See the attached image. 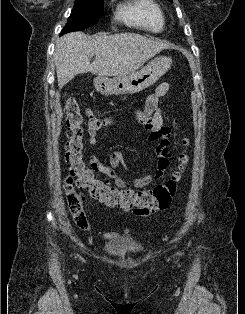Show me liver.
I'll list each match as a JSON object with an SVG mask.
<instances>
[{
    "label": "liver",
    "instance_id": "obj_1",
    "mask_svg": "<svg viewBox=\"0 0 245 314\" xmlns=\"http://www.w3.org/2000/svg\"><path fill=\"white\" fill-rule=\"evenodd\" d=\"M171 45L136 33L88 36L69 33L56 42L53 59L61 89L76 75L122 76L136 71L150 58ZM95 60L91 63L93 56Z\"/></svg>",
    "mask_w": 245,
    "mask_h": 314
}]
</instances>
